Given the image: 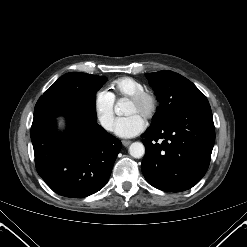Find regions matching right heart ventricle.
<instances>
[{"label":"right heart ventricle","instance_id":"obj_1","mask_svg":"<svg viewBox=\"0 0 247 247\" xmlns=\"http://www.w3.org/2000/svg\"><path fill=\"white\" fill-rule=\"evenodd\" d=\"M142 90H144L143 83L132 77L117 78L109 86V92L114 100L129 98Z\"/></svg>","mask_w":247,"mask_h":247}]
</instances>
